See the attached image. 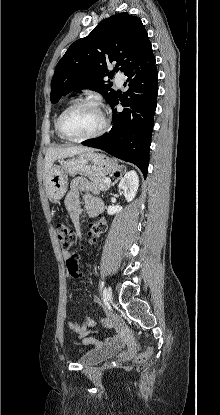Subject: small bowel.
Masks as SVG:
<instances>
[{"mask_svg": "<svg viewBox=\"0 0 220 415\" xmlns=\"http://www.w3.org/2000/svg\"><path fill=\"white\" fill-rule=\"evenodd\" d=\"M96 189L85 180H75L72 183L71 190L67 195L68 211L70 218L76 230L77 236L82 239V224L86 218L100 217L104 211L103 201L97 196ZM106 230V222L103 218H98L90 226L88 233V243L93 245L96 238L104 233ZM96 325L95 320L85 318L82 323L75 321H68L67 328L73 331L84 345L94 346L95 348H102L105 346H115L117 344L116 337L106 338L105 340H98L92 336V328ZM106 326L110 327L107 321Z\"/></svg>", "mask_w": 220, "mask_h": 415, "instance_id": "c3829d8e", "label": "small bowel"}]
</instances>
